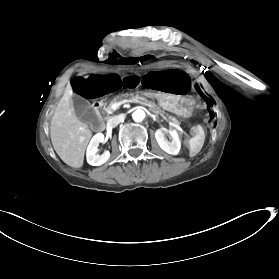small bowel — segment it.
Here are the masks:
<instances>
[{
  "label": "small bowel",
  "instance_id": "1",
  "mask_svg": "<svg viewBox=\"0 0 279 279\" xmlns=\"http://www.w3.org/2000/svg\"><path fill=\"white\" fill-rule=\"evenodd\" d=\"M141 83L151 92L182 95L190 87V78L178 69L169 68L146 73L141 78Z\"/></svg>",
  "mask_w": 279,
  "mask_h": 279
}]
</instances>
